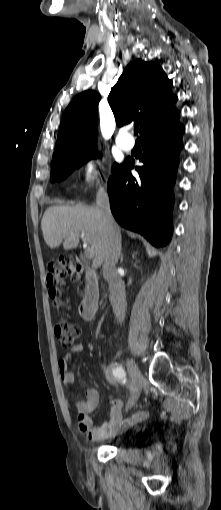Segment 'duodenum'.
I'll return each mask as SVG.
<instances>
[{"instance_id": "duodenum-1", "label": "duodenum", "mask_w": 221, "mask_h": 510, "mask_svg": "<svg viewBox=\"0 0 221 510\" xmlns=\"http://www.w3.org/2000/svg\"><path fill=\"white\" fill-rule=\"evenodd\" d=\"M86 285L79 310L85 321H92L99 306V282L94 269L85 267Z\"/></svg>"}]
</instances>
